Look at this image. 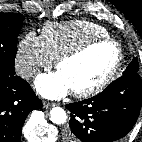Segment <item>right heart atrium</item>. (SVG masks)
<instances>
[{
    "instance_id": "right-heart-atrium-1",
    "label": "right heart atrium",
    "mask_w": 142,
    "mask_h": 142,
    "mask_svg": "<svg viewBox=\"0 0 142 142\" xmlns=\"http://www.w3.org/2000/svg\"><path fill=\"white\" fill-rule=\"evenodd\" d=\"M52 64L53 58L45 48L40 36L29 32L19 41L15 66L23 79L33 78L40 69H49Z\"/></svg>"
}]
</instances>
